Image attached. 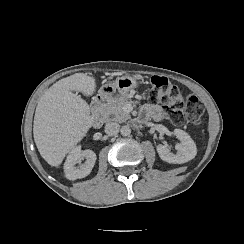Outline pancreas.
<instances>
[{"label": "pancreas", "mask_w": 244, "mask_h": 244, "mask_svg": "<svg viewBox=\"0 0 244 244\" xmlns=\"http://www.w3.org/2000/svg\"><path fill=\"white\" fill-rule=\"evenodd\" d=\"M126 104H128L127 97L110 101L104 108L103 114L108 119L113 121L120 123L126 122L127 120L131 119V115L123 109Z\"/></svg>", "instance_id": "pancreas-1"}]
</instances>
